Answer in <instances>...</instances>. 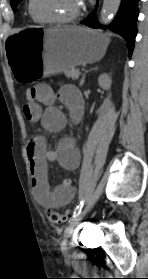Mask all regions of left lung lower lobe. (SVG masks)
Returning <instances> with one entry per match:
<instances>
[{"instance_id": "0a47b994", "label": "left lung lower lobe", "mask_w": 148, "mask_h": 279, "mask_svg": "<svg viewBox=\"0 0 148 279\" xmlns=\"http://www.w3.org/2000/svg\"><path fill=\"white\" fill-rule=\"evenodd\" d=\"M98 1V0H97ZM138 1L139 0H122L119 11L113 20V22L109 25V29L120 34L128 43L129 53L131 55L135 37L137 35L136 21L138 18ZM98 5V4H97ZM96 10L94 11L81 22V24L98 28L101 26L96 21Z\"/></svg>"}]
</instances>
